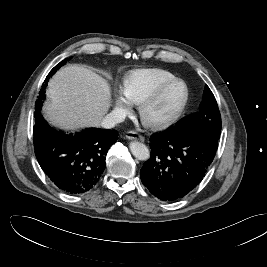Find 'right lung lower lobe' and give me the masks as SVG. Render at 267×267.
I'll use <instances>...</instances> for the list:
<instances>
[{"mask_svg":"<svg viewBox=\"0 0 267 267\" xmlns=\"http://www.w3.org/2000/svg\"><path fill=\"white\" fill-rule=\"evenodd\" d=\"M34 148L42 170L52 183L69 194L89 191L106 167V155L116 142V130L90 128L65 134L35 116Z\"/></svg>","mask_w":267,"mask_h":267,"instance_id":"1","label":"right lung lower lobe"}]
</instances>
